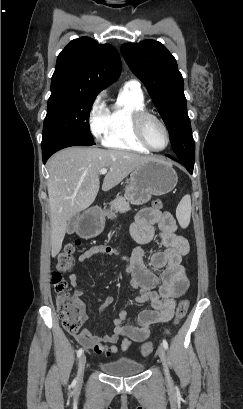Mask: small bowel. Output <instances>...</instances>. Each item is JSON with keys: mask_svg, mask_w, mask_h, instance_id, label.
<instances>
[{"mask_svg": "<svg viewBox=\"0 0 243 409\" xmlns=\"http://www.w3.org/2000/svg\"><path fill=\"white\" fill-rule=\"evenodd\" d=\"M163 249H156L150 255L151 266L154 269H163L158 277L144 263L145 251L137 247L129 256L121 257L126 263V272L131 276L130 285L138 291L135 298L137 304L149 302L151 309L142 310L137 316V325L128 324L129 313L123 309L112 321L113 331L104 335H96L90 330L83 329L76 335L77 341L86 348L98 354L106 356L116 355L126 351L131 341L142 342L148 339L152 325L165 323L172 318L176 305V298L181 297L190 285L189 278L182 266V258L190 251L189 242L178 235L177 223L173 215L168 211H159L146 208L140 211L130 228L132 238L138 244L149 243L156 234ZM98 254L117 256L118 252L110 245H94L79 256L80 262H85ZM70 285L78 286V278L75 273L69 276ZM83 291L75 289L73 298L80 304L84 320H88L86 308L82 302ZM113 297L106 300L111 304ZM124 337L120 347L116 345L118 339Z\"/></svg>", "mask_w": 243, "mask_h": 409, "instance_id": "obj_1", "label": "small bowel"}]
</instances>
